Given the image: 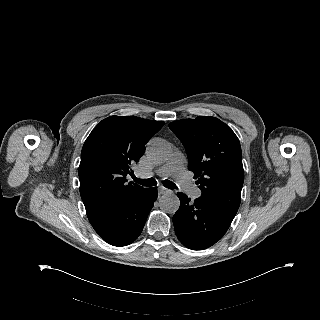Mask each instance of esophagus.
<instances>
[{"label":"esophagus","mask_w":320,"mask_h":320,"mask_svg":"<svg viewBox=\"0 0 320 320\" xmlns=\"http://www.w3.org/2000/svg\"><path fill=\"white\" fill-rule=\"evenodd\" d=\"M170 192H171V190H169V189H167L165 187L160 186L158 188V194L159 195H163V194L170 193Z\"/></svg>","instance_id":"1"}]
</instances>
